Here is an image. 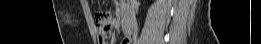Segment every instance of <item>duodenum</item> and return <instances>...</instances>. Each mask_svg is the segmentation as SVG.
I'll return each instance as SVG.
<instances>
[{
    "label": "duodenum",
    "instance_id": "duodenum-1",
    "mask_svg": "<svg viewBox=\"0 0 261 44\" xmlns=\"http://www.w3.org/2000/svg\"><path fill=\"white\" fill-rule=\"evenodd\" d=\"M132 15V13H131ZM121 28L125 35L130 36L134 29V19L133 15H123L121 17Z\"/></svg>",
    "mask_w": 261,
    "mask_h": 44
}]
</instances>
